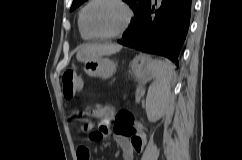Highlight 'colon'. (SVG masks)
Here are the masks:
<instances>
[{
  "instance_id": "colon-1",
  "label": "colon",
  "mask_w": 242,
  "mask_h": 160,
  "mask_svg": "<svg viewBox=\"0 0 242 160\" xmlns=\"http://www.w3.org/2000/svg\"><path fill=\"white\" fill-rule=\"evenodd\" d=\"M63 94L65 97L71 98L81 89L82 83L77 76L75 70L65 69L61 76ZM115 131L119 133H132L136 130V120L132 112L127 110L119 111L116 115ZM100 131H95L90 138L96 140L101 137Z\"/></svg>"
}]
</instances>
